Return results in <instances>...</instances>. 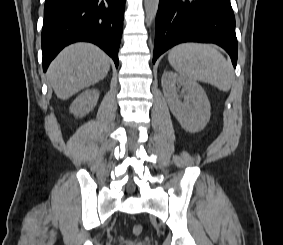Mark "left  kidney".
<instances>
[{
	"label": "left kidney",
	"mask_w": 283,
	"mask_h": 245,
	"mask_svg": "<svg viewBox=\"0 0 283 245\" xmlns=\"http://www.w3.org/2000/svg\"><path fill=\"white\" fill-rule=\"evenodd\" d=\"M161 83L170 110L180 125L193 133L203 130L211 115L204 89L195 81L173 71L164 72ZM177 87H182L183 102L177 94Z\"/></svg>",
	"instance_id": "left-kidney-1"
}]
</instances>
